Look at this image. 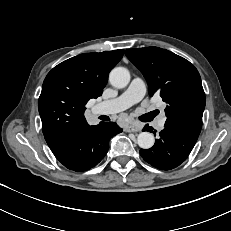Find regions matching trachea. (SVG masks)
<instances>
[{
    "label": "trachea",
    "mask_w": 231,
    "mask_h": 231,
    "mask_svg": "<svg viewBox=\"0 0 231 231\" xmlns=\"http://www.w3.org/2000/svg\"><path fill=\"white\" fill-rule=\"evenodd\" d=\"M156 115H157L156 112H152V113L143 115L140 119H141V120H145L147 117H155Z\"/></svg>",
    "instance_id": "obj_1"
}]
</instances>
